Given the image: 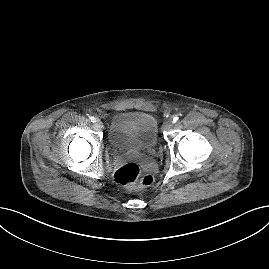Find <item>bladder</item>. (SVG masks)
Segmentation results:
<instances>
[{"mask_svg":"<svg viewBox=\"0 0 269 269\" xmlns=\"http://www.w3.org/2000/svg\"><path fill=\"white\" fill-rule=\"evenodd\" d=\"M108 139L112 149L118 153L150 152L158 142V125L150 114L121 112L111 120Z\"/></svg>","mask_w":269,"mask_h":269,"instance_id":"31cf9c89","label":"bladder"}]
</instances>
